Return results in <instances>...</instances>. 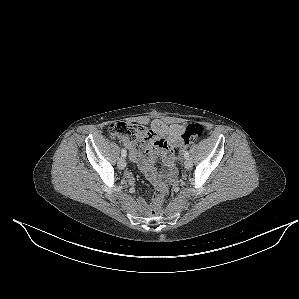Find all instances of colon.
<instances>
[{
  "mask_svg": "<svg viewBox=\"0 0 299 299\" xmlns=\"http://www.w3.org/2000/svg\"><path fill=\"white\" fill-rule=\"evenodd\" d=\"M109 132L113 137L126 140L132 143L142 141L149 133L148 128L139 124L128 122H116L109 126ZM205 132L203 125L199 123L189 124L185 127L182 134L183 142L188 145L189 143L201 139ZM172 191L170 188H165L158 191L154 197L153 209L159 210L162 205L168 203L172 199Z\"/></svg>",
  "mask_w": 299,
  "mask_h": 299,
  "instance_id": "colon-1",
  "label": "colon"
}]
</instances>
